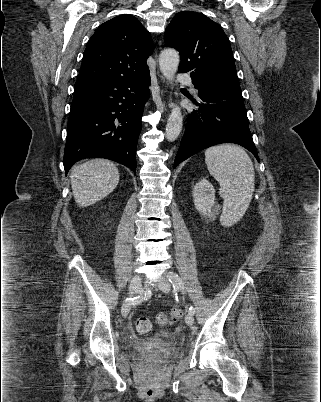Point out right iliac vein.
Wrapping results in <instances>:
<instances>
[{"label":"right iliac vein","mask_w":321,"mask_h":402,"mask_svg":"<svg viewBox=\"0 0 321 402\" xmlns=\"http://www.w3.org/2000/svg\"><path fill=\"white\" fill-rule=\"evenodd\" d=\"M141 276L140 275H135L131 282H130V286H129V296L133 297L135 295H137V293L139 292L140 286H141ZM131 308V303L125 302L122 305V309H121V313L123 317H127L129 311Z\"/></svg>","instance_id":"1"}]
</instances>
